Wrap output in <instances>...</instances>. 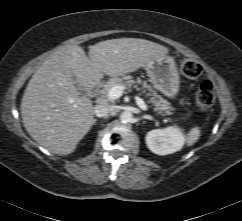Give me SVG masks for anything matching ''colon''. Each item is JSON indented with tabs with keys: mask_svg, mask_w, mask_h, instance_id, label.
Returning <instances> with one entry per match:
<instances>
[{
	"mask_svg": "<svg viewBox=\"0 0 242 221\" xmlns=\"http://www.w3.org/2000/svg\"><path fill=\"white\" fill-rule=\"evenodd\" d=\"M181 71L186 77L193 79L200 76L202 68L196 61L186 59L181 63ZM195 100L202 108H209L213 105L215 93L211 82L205 81L199 86L195 94Z\"/></svg>",
	"mask_w": 242,
	"mask_h": 221,
	"instance_id": "colon-1",
	"label": "colon"
}]
</instances>
